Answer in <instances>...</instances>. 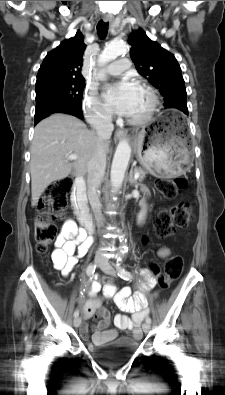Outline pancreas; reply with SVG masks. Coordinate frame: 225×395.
<instances>
[{"label":"pancreas","instance_id":"pancreas-1","mask_svg":"<svg viewBox=\"0 0 225 395\" xmlns=\"http://www.w3.org/2000/svg\"><path fill=\"white\" fill-rule=\"evenodd\" d=\"M134 171H135V173L138 172L140 174L139 181H142L145 178V175L147 173L145 170H143L140 167H136Z\"/></svg>","mask_w":225,"mask_h":395}]
</instances>
